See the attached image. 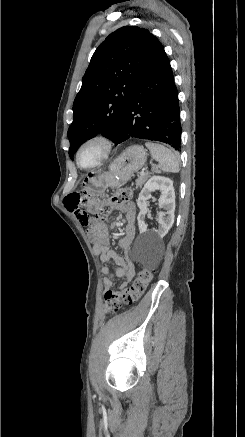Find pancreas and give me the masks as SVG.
Wrapping results in <instances>:
<instances>
[{"label":"pancreas","instance_id":"obj_1","mask_svg":"<svg viewBox=\"0 0 245 437\" xmlns=\"http://www.w3.org/2000/svg\"><path fill=\"white\" fill-rule=\"evenodd\" d=\"M154 172H157V169H153ZM150 177V173H144L143 175H139L136 179V188H141L143 184L146 182V180Z\"/></svg>","mask_w":245,"mask_h":437}]
</instances>
